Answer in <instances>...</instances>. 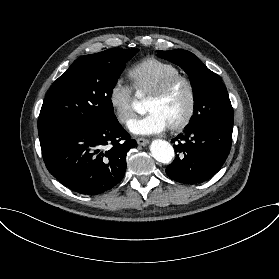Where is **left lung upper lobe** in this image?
Listing matches in <instances>:
<instances>
[{"instance_id":"5c2ea615","label":"left lung upper lobe","mask_w":279,"mask_h":279,"mask_svg":"<svg viewBox=\"0 0 279 279\" xmlns=\"http://www.w3.org/2000/svg\"><path fill=\"white\" fill-rule=\"evenodd\" d=\"M158 56L179 65L190 76L194 113L187 128L203 122L233 125V108L219 75L209 70L193 53L183 49L158 51Z\"/></svg>"}]
</instances>
